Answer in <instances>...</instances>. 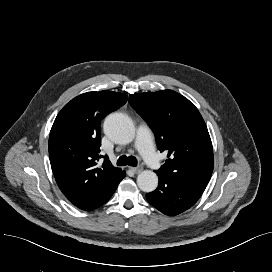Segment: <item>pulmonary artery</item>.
<instances>
[{
  "instance_id": "obj_1",
  "label": "pulmonary artery",
  "mask_w": 272,
  "mask_h": 272,
  "mask_svg": "<svg viewBox=\"0 0 272 272\" xmlns=\"http://www.w3.org/2000/svg\"><path fill=\"white\" fill-rule=\"evenodd\" d=\"M136 147L146 163L149 164L151 168H160V160L153 146L151 133L144 125H140L138 128Z\"/></svg>"
}]
</instances>
